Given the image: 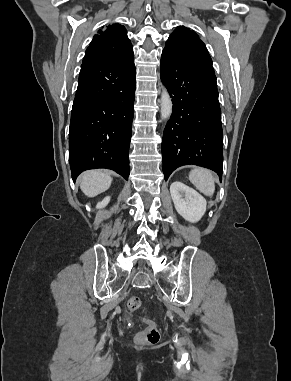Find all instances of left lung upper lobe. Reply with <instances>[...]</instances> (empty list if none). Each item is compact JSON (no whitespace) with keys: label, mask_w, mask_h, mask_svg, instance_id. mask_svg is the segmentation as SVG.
I'll return each instance as SVG.
<instances>
[{"label":"left lung upper lobe","mask_w":291,"mask_h":381,"mask_svg":"<svg viewBox=\"0 0 291 381\" xmlns=\"http://www.w3.org/2000/svg\"><path fill=\"white\" fill-rule=\"evenodd\" d=\"M163 51L198 72L215 76L205 44L194 31L184 26H178L173 31Z\"/></svg>","instance_id":"5c2ea615"}]
</instances>
